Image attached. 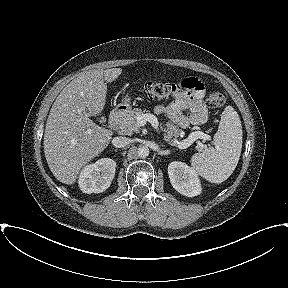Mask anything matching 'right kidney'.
I'll use <instances>...</instances> for the list:
<instances>
[{
  "label": "right kidney",
  "instance_id": "obj_1",
  "mask_svg": "<svg viewBox=\"0 0 288 288\" xmlns=\"http://www.w3.org/2000/svg\"><path fill=\"white\" fill-rule=\"evenodd\" d=\"M116 171V162L110 158H102L87 165L79 177V187L87 194L101 193L111 184Z\"/></svg>",
  "mask_w": 288,
  "mask_h": 288
}]
</instances>
